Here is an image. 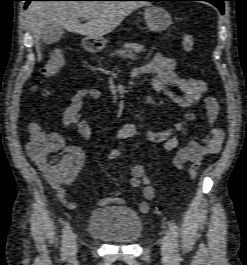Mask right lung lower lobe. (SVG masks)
I'll list each match as a JSON object with an SVG mask.
<instances>
[{"label":"right lung lower lobe","instance_id":"obj_1","mask_svg":"<svg viewBox=\"0 0 247 265\" xmlns=\"http://www.w3.org/2000/svg\"><path fill=\"white\" fill-rule=\"evenodd\" d=\"M26 1V4H25V7L30 3V1H33V0H25ZM92 1V0H90Z\"/></svg>","mask_w":247,"mask_h":265}]
</instances>
